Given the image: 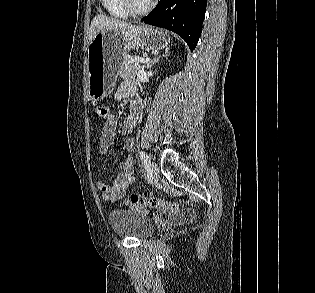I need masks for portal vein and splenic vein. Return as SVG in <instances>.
I'll return each mask as SVG.
<instances>
[{"label":"portal vein and splenic vein","instance_id":"18ae733b","mask_svg":"<svg viewBox=\"0 0 315 293\" xmlns=\"http://www.w3.org/2000/svg\"><path fill=\"white\" fill-rule=\"evenodd\" d=\"M133 61L136 63H148L150 61V59L149 58L134 57Z\"/></svg>","mask_w":315,"mask_h":293}]
</instances>
